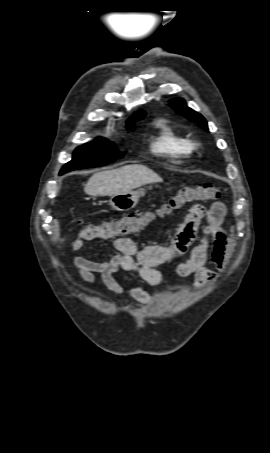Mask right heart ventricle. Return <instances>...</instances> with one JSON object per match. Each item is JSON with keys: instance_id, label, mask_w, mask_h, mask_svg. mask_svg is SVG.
<instances>
[{"instance_id": "1", "label": "right heart ventricle", "mask_w": 270, "mask_h": 453, "mask_svg": "<svg viewBox=\"0 0 270 453\" xmlns=\"http://www.w3.org/2000/svg\"><path fill=\"white\" fill-rule=\"evenodd\" d=\"M158 133L151 143L154 153L179 162L192 152L190 140L177 132L168 122L161 120L157 123Z\"/></svg>"}]
</instances>
